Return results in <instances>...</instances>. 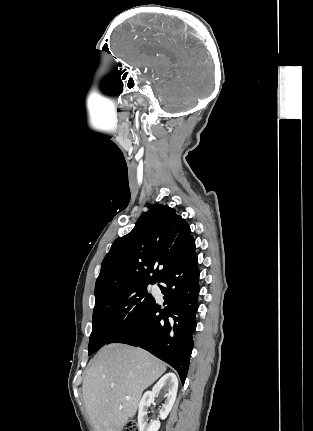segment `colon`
Listing matches in <instances>:
<instances>
[{"label":"colon","instance_id":"1","mask_svg":"<svg viewBox=\"0 0 313 431\" xmlns=\"http://www.w3.org/2000/svg\"><path fill=\"white\" fill-rule=\"evenodd\" d=\"M122 431H139L136 421L135 420L127 421L124 424Z\"/></svg>","mask_w":313,"mask_h":431}]
</instances>
